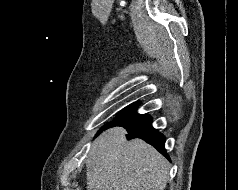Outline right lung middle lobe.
I'll return each instance as SVG.
<instances>
[{
    "label": "right lung middle lobe",
    "instance_id": "obj_1",
    "mask_svg": "<svg viewBox=\"0 0 238 190\" xmlns=\"http://www.w3.org/2000/svg\"><path fill=\"white\" fill-rule=\"evenodd\" d=\"M139 105H140V103L137 102V103H133V104L129 105L128 107H126L124 109V111L121 112L120 115H118L117 118H115L112 122H110V123L106 124L105 126H103L100 129L99 132H101L102 130H105L107 128L113 127V126H118V125H120L122 123H125L127 121H130V120H133L135 118H138V117L142 116L141 114H138L136 112V109H137V107Z\"/></svg>",
    "mask_w": 238,
    "mask_h": 190
}]
</instances>
